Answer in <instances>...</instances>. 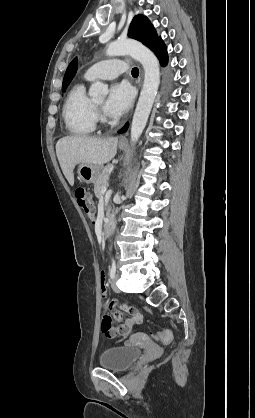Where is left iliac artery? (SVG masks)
Instances as JSON below:
<instances>
[{"label":"left iliac artery","mask_w":255,"mask_h":418,"mask_svg":"<svg viewBox=\"0 0 255 418\" xmlns=\"http://www.w3.org/2000/svg\"><path fill=\"white\" fill-rule=\"evenodd\" d=\"M115 274H116V263H115V260L112 259V265L110 269V278L113 279L115 277Z\"/></svg>","instance_id":"obj_1"}]
</instances>
